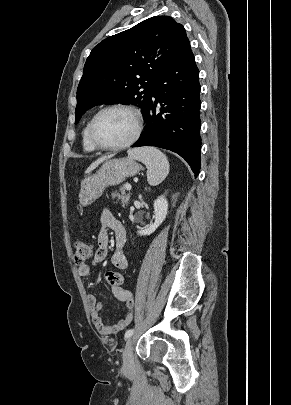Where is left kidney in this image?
<instances>
[{
    "label": "left kidney",
    "instance_id": "1",
    "mask_svg": "<svg viewBox=\"0 0 291 405\" xmlns=\"http://www.w3.org/2000/svg\"><path fill=\"white\" fill-rule=\"evenodd\" d=\"M155 220L154 223L149 225L146 229L138 231V235L146 236L151 235L163 223L168 213V202L165 197L159 196L154 201Z\"/></svg>",
    "mask_w": 291,
    "mask_h": 405
}]
</instances>
